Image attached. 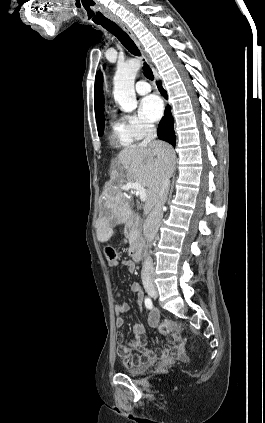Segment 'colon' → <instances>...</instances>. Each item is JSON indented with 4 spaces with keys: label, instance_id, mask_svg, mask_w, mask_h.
Masks as SVG:
<instances>
[{
    "label": "colon",
    "instance_id": "5ec220e1",
    "mask_svg": "<svg viewBox=\"0 0 265 423\" xmlns=\"http://www.w3.org/2000/svg\"><path fill=\"white\" fill-rule=\"evenodd\" d=\"M104 254L108 261H115L118 256L117 250L112 246L105 247ZM182 328H183L182 325L172 320H165L159 325V331L163 334H166L175 330H181Z\"/></svg>",
    "mask_w": 265,
    "mask_h": 423
}]
</instances>
